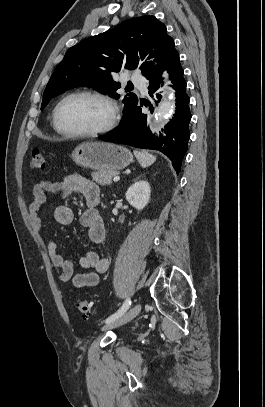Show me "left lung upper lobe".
<instances>
[{
  "label": "left lung upper lobe",
  "instance_id": "obj_1",
  "mask_svg": "<svg viewBox=\"0 0 265 407\" xmlns=\"http://www.w3.org/2000/svg\"><path fill=\"white\" fill-rule=\"evenodd\" d=\"M156 57L159 66L142 62L146 54ZM179 61L173 39L166 26L154 16L127 20L115 28L87 38L71 47L56 67L43 94L41 110L55 96L73 87L86 86L118 99L120 84L112 73L120 69L139 68L148 79L161 77L162 70L170 69ZM122 122L137 106L138 98L129 93L123 99ZM121 122V123H122Z\"/></svg>",
  "mask_w": 265,
  "mask_h": 407
}]
</instances>
